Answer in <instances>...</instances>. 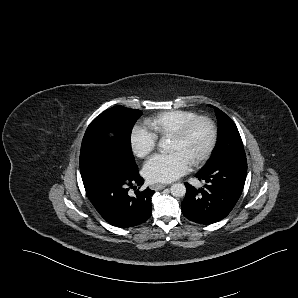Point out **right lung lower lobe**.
<instances>
[{"label": "right lung lower lobe", "mask_w": 298, "mask_h": 298, "mask_svg": "<svg viewBox=\"0 0 298 298\" xmlns=\"http://www.w3.org/2000/svg\"><path fill=\"white\" fill-rule=\"evenodd\" d=\"M143 178L134 170L120 177L91 180L84 183L87 196L99 214L110 224L128 228L144 223L151 216V196L147 188L128 193L133 185H142Z\"/></svg>", "instance_id": "right-lung-lower-lobe-1"}]
</instances>
